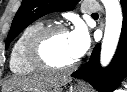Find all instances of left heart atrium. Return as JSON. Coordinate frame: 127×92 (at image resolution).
I'll return each mask as SVG.
<instances>
[{"instance_id":"39dd6f15","label":"left heart atrium","mask_w":127,"mask_h":92,"mask_svg":"<svg viewBox=\"0 0 127 92\" xmlns=\"http://www.w3.org/2000/svg\"><path fill=\"white\" fill-rule=\"evenodd\" d=\"M70 44L76 59L82 57L90 46V37L87 29L78 24L69 32Z\"/></svg>"}]
</instances>
